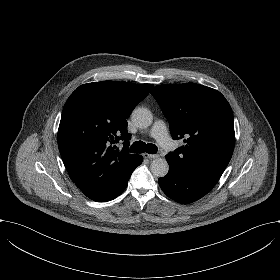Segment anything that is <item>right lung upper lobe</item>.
<instances>
[{
	"mask_svg": "<svg viewBox=\"0 0 280 280\" xmlns=\"http://www.w3.org/2000/svg\"><path fill=\"white\" fill-rule=\"evenodd\" d=\"M152 84L103 81L79 86L66 101L58 129V147L71 180L90 199L106 196L138 166L129 154L126 119ZM124 141L121 151L111 144Z\"/></svg>",
	"mask_w": 280,
	"mask_h": 280,
	"instance_id": "1",
	"label": "right lung upper lobe"
}]
</instances>
